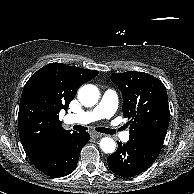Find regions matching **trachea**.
Listing matches in <instances>:
<instances>
[{"label": "trachea", "instance_id": "obj_1", "mask_svg": "<svg viewBox=\"0 0 194 194\" xmlns=\"http://www.w3.org/2000/svg\"><path fill=\"white\" fill-rule=\"evenodd\" d=\"M73 129L76 131L87 130V128L85 126H81V125H74ZM96 131L101 132V133H106V134H114L116 132L115 129H109V128H104V127H98V128H96Z\"/></svg>", "mask_w": 194, "mask_h": 194}]
</instances>
